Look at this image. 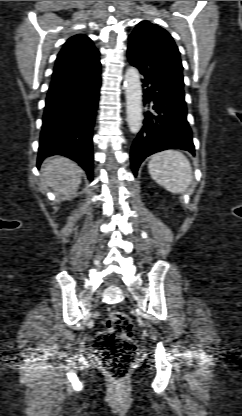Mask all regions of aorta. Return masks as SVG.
Returning <instances> with one entry per match:
<instances>
[{
	"mask_svg": "<svg viewBox=\"0 0 242 416\" xmlns=\"http://www.w3.org/2000/svg\"><path fill=\"white\" fill-rule=\"evenodd\" d=\"M125 95L127 123L132 133H138L142 127V88L140 75L135 67H129L125 74Z\"/></svg>",
	"mask_w": 242,
	"mask_h": 416,
	"instance_id": "1",
	"label": "aorta"
}]
</instances>
